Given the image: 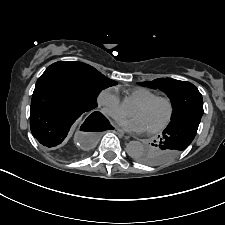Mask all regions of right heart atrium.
Masks as SVG:
<instances>
[{
  "label": "right heart atrium",
  "mask_w": 225,
  "mask_h": 225,
  "mask_svg": "<svg viewBox=\"0 0 225 225\" xmlns=\"http://www.w3.org/2000/svg\"><path fill=\"white\" fill-rule=\"evenodd\" d=\"M97 104L101 111L109 116L116 117L121 112L122 103L118 91L115 88H105L97 96Z\"/></svg>",
  "instance_id": "obj_1"
}]
</instances>
